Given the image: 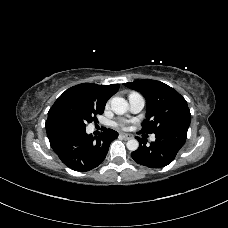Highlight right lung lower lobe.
<instances>
[{"label": "right lung lower lobe", "instance_id": "obj_1", "mask_svg": "<svg viewBox=\"0 0 228 228\" xmlns=\"http://www.w3.org/2000/svg\"><path fill=\"white\" fill-rule=\"evenodd\" d=\"M50 145L60 160L75 171H89L105 159L109 145L118 137L112 129H105L97 138L85 129L62 124L46 125Z\"/></svg>", "mask_w": 228, "mask_h": 228}]
</instances>
